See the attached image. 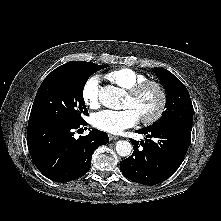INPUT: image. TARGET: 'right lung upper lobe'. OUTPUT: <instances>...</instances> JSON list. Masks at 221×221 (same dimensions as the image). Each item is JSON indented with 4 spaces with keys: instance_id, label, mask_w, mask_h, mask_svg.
Returning a JSON list of instances; mask_svg holds the SVG:
<instances>
[{
    "instance_id": "cb5924a9",
    "label": "right lung upper lobe",
    "mask_w": 221,
    "mask_h": 221,
    "mask_svg": "<svg viewBox=\"0 0 221 221\" xmlns=\"http://www.w3.org/2000/svg\"><path fill=\"white\" fill-rule=\"evenodd\" d=\"M78 62H80V61H70V62H68V63H66V64H64V65L76 64V63H78Z\"/></svg>"
}]
</instances>
